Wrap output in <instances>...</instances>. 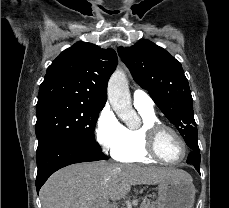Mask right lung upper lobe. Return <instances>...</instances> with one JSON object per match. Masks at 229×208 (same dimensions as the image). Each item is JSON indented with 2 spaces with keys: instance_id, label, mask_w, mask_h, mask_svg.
<instances>
[{
  "instance_id": "right-lung-upper-lobe-1",
  "label": "right lung upper lobe",
  "mask_w": 229,
  "mask_h": 208,
  "mask_svg": "<svg viewBox=\"0 0 229 208\" xmlns=\"http://www.w3.org/2000/svg\"><path fill=\"white\" fill-rule=\"evenodd\" d=\"M116 65L114 50L77 42L48 67L38 102L69 99L101 111L107 100V83Z\"/></svg>"
}]
</instances>
